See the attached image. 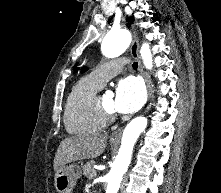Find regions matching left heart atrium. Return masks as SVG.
I'll use <instances>...</instances> for the list:
<instances>
[{"label":"left heart atrium","instance_id":"39dd6f15","mask_svg":"<svg viewBox=\"0 0 221 193\" xmlns=\"http://www.w3.org/2000/svg\"><path fill=\"white\" fill-rule=\"evenodd\" d=\"M145 101V89L137 77L128 76L121 79L116 87L114 109L123 114L136 112Z\"/></svg>","mask_w":221,"mask_h":193}]
</instances>
